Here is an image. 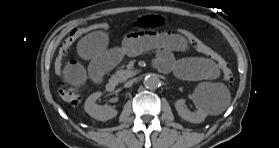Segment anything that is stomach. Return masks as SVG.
Masks as SVG:
<instances>
[{
  "label": "stomach",
  "instance_id": "stomach-1",
  "mask_svg": "<svg viewBox=\"0 0 279 148\" xmlns=\"http://www.w3.org/2000/svg\"><path fill=\"white\" fill-rule=\"evenodd\" d=\"M133 25L139 31H161L166 27L167 20L158 13L139 14L134 18Z\"/></svg>",
  "mask_w": 279,
  "mask_h": 148
}]
</instances>
